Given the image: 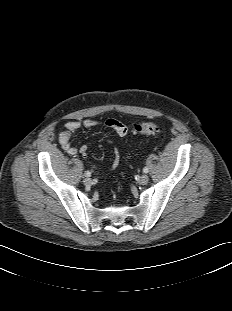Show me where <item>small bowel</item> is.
I'll return each mask as SVG.
<instances>
[{
	"label": "small bowel",
	"instance_id": "1",
	"mask_svg": "<svg viewBox=\"0 0 232 311\" xmlns=\"http://www.w3.org/2000/svg\"><path fill=\"white\" fill-rule=\"evenodd\" d=\"M98 124L99 122L93 119H86L84 121L71 120L67 122L65 125V130L62 131L58 137L59 143L63 148V150L70 155H76L80 153L85 156L87 153V146L82 145L79 148L74 147L70 142L71 136L80 128L89 129ZM105 126L115 130V132L119 137H124L128 133V126L122 124L120 121L116 119L106 120ZM118 163H119V154L117 151H115V159L113 162V167H116Z\"/></svg>",
	"mask_w": 232,
	"mask_h": 311
}]
</instances>
